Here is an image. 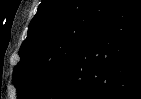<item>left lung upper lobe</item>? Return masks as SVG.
I'll return each mask as SVG.
<instances>
[{
    "label": "left lung upper lobe",
    "mask_w": 141,
    "mask_h": 99,
    "mask_svg": "<svg viewBox=\"0 0 141 99\" xmlns=\"http://www.w3.org/2000/svg\"><path fill=\"white\" fill-rule=\"evenodd\" d=\"M121 0H42L13 70L17 99H36L57 83Z\"/></svg>",
    "instance_id": "5c2ea615"
}]
</instances>
